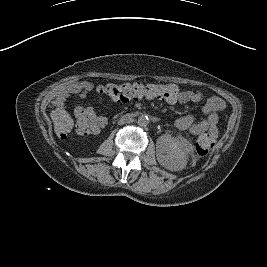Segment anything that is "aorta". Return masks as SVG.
I'll return each mask as SVG.
<instances>
[{
    "label": "aorta",
    "mask_w": 267,
    "mask_h": 267,
    "mask_svg": "<svg viewBox=\"0 0 267 267\" xmlns=\"http://www.w3.org/2000/svg\"><path fill=\"white\" fill-rule=\"evenodd\" d=\"M137 123H138L139 126L145 127L149 123V118L147 116H144V115L139 116Z\"/></svg>",
    "instance_id": "aorta-1"
}]
</instances>
